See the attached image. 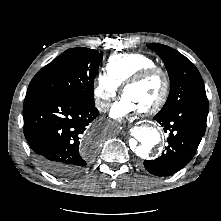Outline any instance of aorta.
<instances>
[{"mask_svg":"<svg viewBox=\"0 0 221 221\" xmlns=\"http://www.w3.org/2000/svg\"><path fill=\"white\" fill-rule=\"evenodd\" d=\"M134 137L140 145L133 146V149L141 158H145L149 150L161 141L159 131L153 127H138L134 132Z\"/></svg>","mask_w":221,"mask_h":221,"instance_id":"762f6f07","label":"aorta"}]
</instances>
